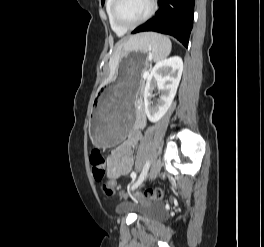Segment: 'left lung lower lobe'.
<instances>
[{
	"label": "left lung lower lobe",
	"mask_w": 264,
	"mask_h": 247,
	"mask_svg": "<svg viewBox=\"0 0 264 247\" xmlns=\"http://www.w3.org/2000/svg\"><path fill=\"white\" fill-rule=\"evenodd\" d=\"M195 0H158L159 9L155 16L137 27L133 34L154 31L171 35L188 47L193 27Z\"/></svg>",
	"instance_id": "1"
}]
</instances>
